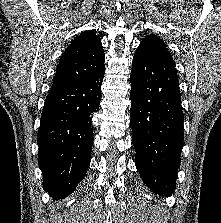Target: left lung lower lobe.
<instances>
[{
  "label": "left lung lower lobe",
  "instance_id": "0a47b994",
  "mask_svg": "<svg viewBox=\"0 0 221 223\" xmlns=\"http://www.w3.org/2000/svg\"><path fill=\"white\" fill-rule=\"evenodd\" d=\"M130 82L137 170L155 194H172L184 140L181 94L172 57L139 47Z\"/></svg>",
  "mask_w": 221,
  "mask_h": 223
}]
</instances>
